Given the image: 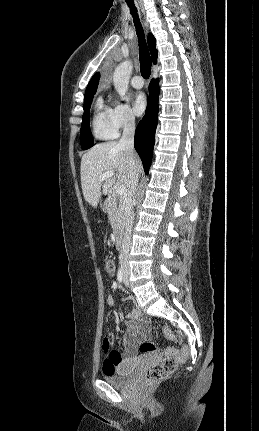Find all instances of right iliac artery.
Masks as SVG:
<instances>
[{"label": "right iliac artery", "instance_id": "obj_1", "mask_svg": "<svg viewBox=\"0 0 259 431\" xmlns=\"http://www.w3.org/2000/svg\"><path fill=\"white\" fill-rule=\"evenodd\" d=\"M117 279L121 283L123 281V268L120 267L117 273Z\"/></svg>", "mask_w": 259, "mask_h": 431}]
</instances>
